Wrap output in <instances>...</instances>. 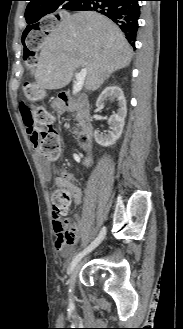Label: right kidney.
<instances>
[{"instance_id":"obj_1","label":"right kidney","mask_w":183,"mask_h":329,"mask_svg":"<svg viewBox=\"0 0 183 329\" xmlns=\"http://www.w3.org/2000/svg\"><path fill=\"white\" fill-rule=\"evenodd\" d=\"M117 100L118 110L113 112L108 120L109 131L107 134L100 133L98 130L94 132L95 141L104 147L111 146L120 138L125 125V118L127 115L126 99L123 91L118 86H108L99 95L96 106L103 108L107 100Z\"/></svg>"}]
</instances>
